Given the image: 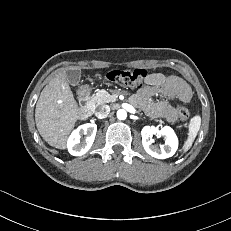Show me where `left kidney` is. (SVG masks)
<instances>
[{"label": "left kidney", "instance_id": "left-kidney-1", "mask_svg": "<svg viewBox=\"0 0 231 231\" xmlns=\"http://www.w3.org/2000/svg\"><path fill=\"white\" fill-rule=\"evenodd\" d=\"M155 129L154 126H146L141 131L142 144L145 151L157 159H166L173 156L178 149V138L173 129L165 126L158 130L157 133L165 140V144L160 146V148L152 144V134L155 132Z\"/></svg>", "mask_w": 231, "mask_h": 231}]
</instances>
